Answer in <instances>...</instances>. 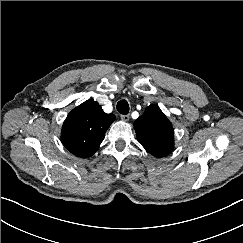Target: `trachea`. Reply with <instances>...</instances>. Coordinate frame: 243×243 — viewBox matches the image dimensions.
<instances>
[{"instance_id":"obj_1","label":"trachea","mask_w":243,"mask_h":243,"mask_svg":"<svg viewBox=\"0 0 243 243\" xmlns=\"http://www.w3.org/2000/svg\"><path fill=\"white\" fill-rule=\"evenodd\" d=\"M117 110L120 114L126 115L129 113V105L126 100H121L117 103Z\"/></svg>"}]
</instances>
